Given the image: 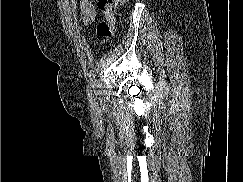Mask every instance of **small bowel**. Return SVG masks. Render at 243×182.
Instances as JSON below:
<instances>
[{
	"instance_id": "small-bowel-1",
	"label": "small bowel",
	"mask_w": 243,
	"mask_h": 182,
	"mask_svg": "<svg viewBox=\"0 0 243 182\" xmlns=\"http://www.w3.org/2000/svg\"><path fill=\"white\" fill-rule=\"evenodd\" d=\"M81 20L85 25H91L96 19V11L91 1L80 0Z\"/></svg>"
}]
</instances>
